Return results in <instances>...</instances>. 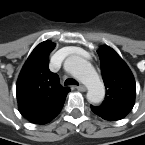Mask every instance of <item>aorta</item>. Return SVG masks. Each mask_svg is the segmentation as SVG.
Listing matches in <instances>:
<instances>
[{
	"label": "aorta",
	"instance_id": "obj_1",
	"mask_svg": "<svg viewBox=\"0 0 145 145\" xmlns=\"http://www.w3.org/2000/svg\"><path fill=\"white\" fill-rule=\"evenodd\" d=\"M68 71L86 85L87 99L98 104L105 96V87L93 66L79 56L69 57L66 61Z\"/></svg>",
	"mask_w": 145,
	"mask_h": 145
}]
</instances>
